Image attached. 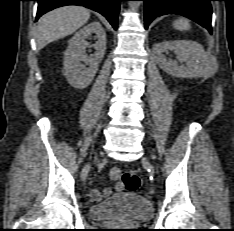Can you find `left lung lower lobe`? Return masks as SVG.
Wrapping results in <instances>:
<instances>
[{
	"mask_svg": "<svg viewBox=\"0 0 234 231\" xmlns=\"http://www.w3.org/2000/svg\"><path fill=\"white\" fill-rule=\"evenodd\" d=\"M144 1V21L147 29L153 19L165 14H179L211 29L213 0H141Z\"/></svg>",
	"mask_w": 234,
	"mask_h": 231,
	"instance_id": "left-lung-lower-lobe-1",
	"label": "left lung lower lobe"
}]
</instances>
